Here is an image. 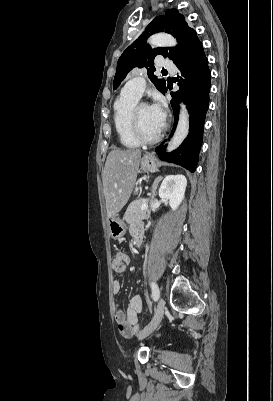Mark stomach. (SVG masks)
<instances>
[{
  "instance_id": "0dacf381",
  "label": "stomach",
  "mask_w": 273,
  "mask_h": 401,
  "mask_svg": "<svg viewBox=\"0 0 273 401\" xmlns=\"http://www.w3.org/2000/svg\"><path fill=\"white\" fill-rule=\"evenodd\" d=\"M141 170H145V172H156L157 170V160H155V156L150 154V152H146L143 158H141ZM109 225V233L112 239H122L126 233V225L120 217L114 215V217H108L107 219Z\"/></svg>"
}]
</instances>
